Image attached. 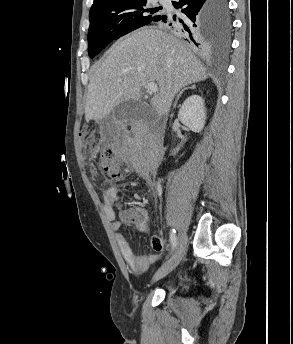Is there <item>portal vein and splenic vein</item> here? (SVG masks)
Masks as SVG:
<instances>
[{
    "label": "portal vein and splenic vein",
    "instance_id": "18ae733b",
    "mask_svg": "<svg viewBox=\"0 0 293 344\" xmlns=\"http://www.w3.org/2000/svg\"><path fill=\"white\" fill-rule=\"evenodd\" d=\"M147 90L149 93H156L158 91V86L154 82H149L147 84Z\"/></svg>",
    "mask_w": 293,
    "mask_h": 344
}]
</instances>
